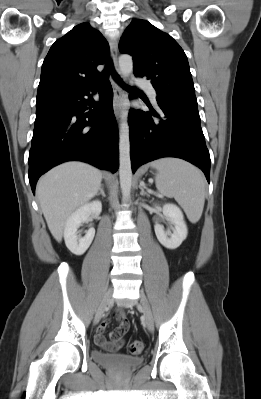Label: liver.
<instances>
[{"instance_id": "6515ba94", "label": "liver", "mask_w": 261, "mask_h": 399, "mask_svg": "<svg viewBox=\"0 0 261 399\" xmlns=\"http://www.w3.org/2000/svg\"><path fill=\"white\" fill-rule=\"evenodd\" d=\"M103 173L82 162L63 163L38 181L36 194L48 228L61 242L65 223L75 209L98 192Z\"/></svg>"}]
</instances>
